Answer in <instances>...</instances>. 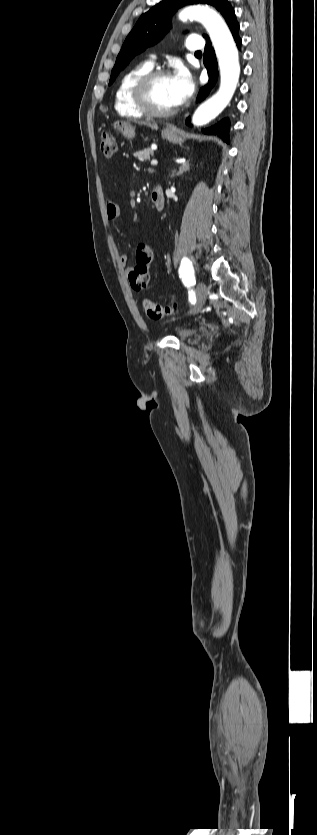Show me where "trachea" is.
I'll list each match as a JSON object with an SVG mask.
<instances>
[{
    "instance_id": "3493384b",
    "label": "trachea",
    "mask_w": 317,
    "mask_h": 835,
    "mask_svg": "<svg viewBox=\"0 0 317 835\" xmlns=\"http://www.w3.org/2000/svg\"><path fill=\"white\" fill-rule=\"evenodd\" d=\"M195 54H196V55H201V54H202V52H201V51H198V52H195Z\"/></svg>"
}]
</instances>
